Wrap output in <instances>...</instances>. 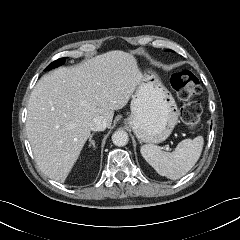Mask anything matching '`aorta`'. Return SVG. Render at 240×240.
Instances as JSON below:
<instances>
[{"instance_id":"aorta-1","label":"aorta","mask_w":240,"mask_h":240,"mask_svg":"<svg viewBox=\"0 0 240 240\" xmlns=\"http://www.w3.org/2000/svg\"><path fill=\"white\" fill-rule=\"evenodd\" d=\"M129 141L128 133L124 130H117L112 135V142L118 147L125 146Z\"/></svg>"}]
</instances>
